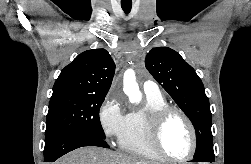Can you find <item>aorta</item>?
Wrapping results in <instances>:
<instances>
[{
    "label": "aorta",
    "mask_w": 251,
    "mask_h": 164,
    "mask_svg": "<svg viewBox=\"0 0 251 164\" xmlns=\"http://www.w3.org/2000/svg\"><path fill=\"white\" fill-rule=\"evenodd\" d=\"M123 84H124L123 90L129 97V100L133 103H139L141 101L142 94L136 82V76L134 70L128 69L127 71H125Z\"/></svg>",
    "instance_id": "1"
}]
</instances>
